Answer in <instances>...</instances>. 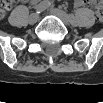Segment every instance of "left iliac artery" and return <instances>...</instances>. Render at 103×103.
I'll use <instances>...</instances> for the list:
<instances>
[{
  "label": "left iliac artery",
  "mask_w": 103,
  "mask_h": 103,
  "mask_svg": "<svg viewBox=\"0 0 103 103\" xmlns=\"http://www.w3.org/2000/svg\"><path fill=\"white\" fill-rule=\"evenodd\" d=\"M69 19L71 21L72 24H76L77 23V19L73 14L69 15Z\"/></svg>",
  "instance_id": "left-iliac-artery-1"
}]
</instances>
